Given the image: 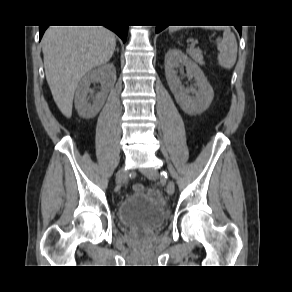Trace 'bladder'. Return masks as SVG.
<instances>
[{
	"instance_id": "31cf9c89",
	"label": "bladder",
	"mask_w": 292,
	"mask_h": 292,
	"mask_svg": "<svg viewBox=\"0 0 292 292\" xmlns=\"http://www.w3.org/2000/svg\"><path fill=\"white\" fill-rule=\"evenodd\" d=\"M166 217L163 199L154 190L127 195L118 207V218L128 228L152 230L162 225Z\"/></svg>"
}]
</instances>
